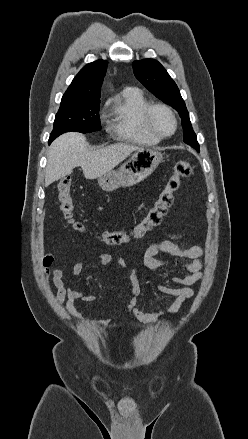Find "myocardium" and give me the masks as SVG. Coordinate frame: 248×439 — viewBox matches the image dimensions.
Masks as SVG:
<instances>
[{
	"label": "myocardium",
	"instance_id": "f54148a6",
	"mask_svg": "<svg viewBox=\"0 0 248 439\" xmlns=\"http://www.w3.org/2000/svg\"><path fill=\"white\" fill-rule=\"evenodd\" d=\"M156 109L165 110L172 118L173 130L171 133L163 134L156 129V127L153 123V113ZM144 122H145V125L148 128V130L160 139H165V138L171 137L172 135L175 134L177 127H178V120H177L175 112L173 111V109L169 105L164 104V103H150L144 111Z\"/></svg>",
	"mask_w": 248,
	"mask_h": 439
}]
</instances>
